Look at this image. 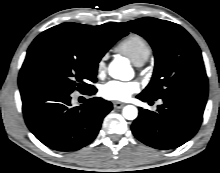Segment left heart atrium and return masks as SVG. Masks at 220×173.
<instances>
[{
  "instance_id": "left-heart-atrium-1",
  "label": "left heart atrium",
  "mask_w": 220,
  "mask_h": 173,
  "mask_svg": "<svg viewBox=\"0 0 220 173\" xmlns=\"http://www.w3.org/2000/svg\"><path fill=\"white\" fill-rule=\"evenodd\" d=\"M139 90L137 82L112 80L102 85L100 93L103 98L112 101H125Z\"/></svg>"
}]
</instances>
